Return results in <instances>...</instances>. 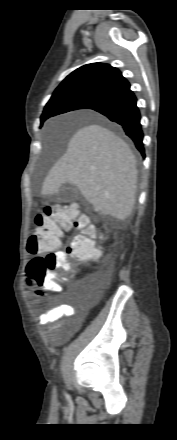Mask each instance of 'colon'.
<instances>
[{
	"label": "colon",
	"instance_id": "obj_1",
	"mask_svg": "<svg viewBox=\"0 0 177 440\" xmlns=\"http://www.w3.org/2000/svg\"><path fill=\"white\" fill-rule=\"evenodd\" d=\"M77 228L81 234L75 237L65 252L58 251L62 231ZM97 229L90 224V218L82 214L74 204L52 205L35 217V228L28 240L27 251L31 254L45 253V256L33 258L27 267L32 273L27 279L30 285H47L53 290H60V281L51 277L56 272H67L69 258L95 262L100 256V249L95 245Z\"/></svg>",
	"mask_w": 177,
	"mask_h": 440
}]
</instances>
